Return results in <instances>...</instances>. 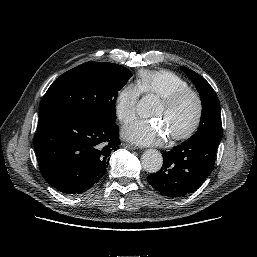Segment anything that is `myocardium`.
<instances>
[{
  "label": "myocardium",
  "instance_id": "1",
  "mask_svg": "<svg viewBox=\"0 0 257 257\" xmlns=\"http://www.w3.org/2000/svg\"><path fill=\"white\" fill-rule=\"evenodd\" d=\"M188 96L192 97L196 102V114L192 123L183 132L171 136V139L174 141L187 139L196 131L204 113L203 99L197 91L190 88L178 90L160 98V101L163 104L167 106H174Z\"/></svg>",
  "mask_w": 257,
  "mask_h": 257
}]
</instances>
